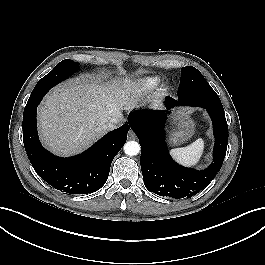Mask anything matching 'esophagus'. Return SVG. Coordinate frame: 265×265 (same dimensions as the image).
I'll use <instances>...</instances> for the list:
<instances>
[{
  "label": "esophagus",
  "mask_w": 265,
  "mask_h": 265,
  "mask_svg": "<svg viewBox=\"0 0 265 265\" xmlns=\"http://www.w3.org/2000/svg\"><path fill=\"white\" fill-rule=\"evenodd\" d=\"M128 138H129V139H135V138H136V135H135V133H134L132 130H130V131L128 132Z\"/></svg>",
  "instance_id": "obj_1"
}]
</instances>
